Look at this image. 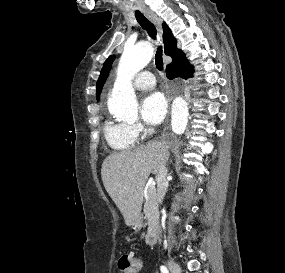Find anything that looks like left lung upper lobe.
Here are the masks:
<instances>
[{
  "label": "left lung upper lobe",
  "mask_w": 285,
  "mask_h": 273,
  "mask_svg": "<svg viewBox=\"0 0 285 273\" xmlns=\"http://www.w3.org/2000/svg\"><path fill=\"white\" fill-rule=\"evenodd\" d=\"M113 61H114V56H110L106 60L104 66L100 72V76H99V79L97 81V86H96V97H97V99L99 98L100 92H101L102 87L106 81L108 74H109V71L111 69V65H112Z\"/></svg>",
  "instance_id": "1"
}]
</instances>
